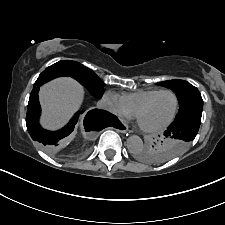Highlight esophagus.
Segmentation results:
<instances>
[{
    "instance_id": "esophagus-1",
    "label": "esophagus",
    "mask_w": 225,
    "mask_h": 225,
    "mask_svg": "<svg viewBox=\"0 0 225 225\" xmlns=\"http://www.w3.org/2000/svg\"><path fill=\"white\" fill-rule=\"evenodd\" d=\"M116 130L119 131V132H121V133H126L128 131V126L124 122H121L117 126Z\"/></svg>"
}]
</instances>
